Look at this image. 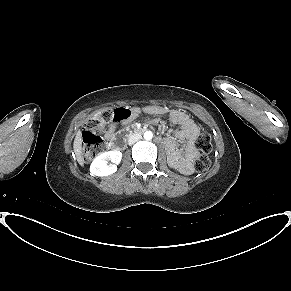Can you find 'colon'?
<instances>
[{"instance_id":"5ec220e1","label":"colon","mask_w":291,"mask_h":291,"mask_svg":"<svg viewBox=\"0 0 291 291\" xmlns=\"http://www.w3.org/2000/svg\"><path fill=\"white\" fill-rule=\"evenodd\" d=\"M130 112L127 108L109 109L95 114L88 121L83 132V158L86 162L92 161L106 150L105 142L100 135L112 122L129 118ZM196 146L199 154L194 163L195 169L205 171L211 165L208 155L212 150V142L208 132L202 131L198 135Z\"/></svg>"}]
</instances>
